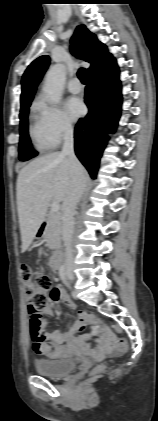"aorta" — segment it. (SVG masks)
I'll use <instances>...</instances> for the list:
<instances>
[{
    "label": "aorta",
    "instance_id": "obj_1",
    "mask_svg": "<svg viewBox=\"0 0 158 421\" xmlns=\"http://www.w3.org/2000/svg\"><path fill=\"white\" fill-rule=\"evenodd\" d=\"M64 79L65 68L62 64L52 66L45 76L43 91L54 104L58 103L62 98Z\"/></svg>",
    "mask_w": 158,
    "mask_h": 421
}]
</instances>
